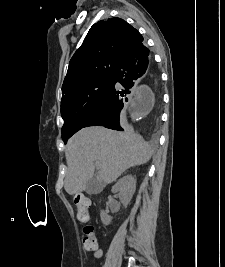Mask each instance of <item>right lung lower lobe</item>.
<instances>
[{"instance_id": "right-lung-lower-lobe-1", "label": "right lung lower lobe", "mask_w": 225, "mask_h": 267, "mask_svg": "<svg viewBox=\"0 0 225 267\" xmlns=\"http://www.w3.org/2000/svg\"><path fill=\"white\" fill-rule=\"evenodd\" d=\"M147 78L156 88L159 87V75L153 64L147 46L141 42L126 51L114 73L112 86L101 106L84 124L88 126H104L113 130H123L120 126V112L127 107L128 98L137 86V80Z\"/></svg>"}]
</instances>
